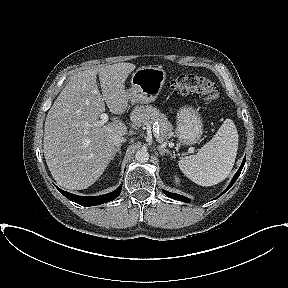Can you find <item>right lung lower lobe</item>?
Returning a JSON list of instances; mask_svg holds the SVG:
<instances>
[{
  "label": "right lung lower lobe",
  "instance_id": "right-lung-lower-lobe-1",
  "mask_svg": "<svg viewBox=\"0 0 288 288\" xmlns=\"http://www.w3.org/2000/svg\"><path fill=\"white\" fill-rule=\"evenodd\" d=\"M57 189L69 200H71L77 204H80L82 206L88 207V206H95V205L103 204V203L114 200L115 198H117L120 195L122 187L119 186L117 188V190H115L111 193H107V194H104L101 196H95V197L78 196V195L63 191V190L59 189L58 187H57Z\"/></svg>",
  "mask_w": 288,
  "mask_h": 288
}]
</instances>
